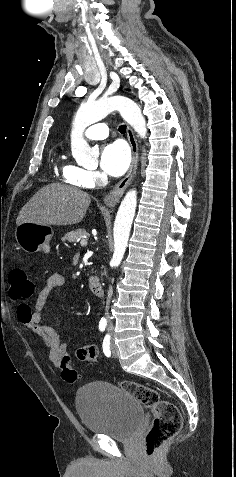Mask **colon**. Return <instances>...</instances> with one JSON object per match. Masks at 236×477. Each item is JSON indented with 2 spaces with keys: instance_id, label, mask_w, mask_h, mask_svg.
<instances>
[{
  "instance_id": "5ec220e1",
  "label": "colon",
  "mask_w": 236,
  "mask_h": 477,
  "mask_svg": "<svg viewBox=\"0 0 236 477\" xmlns=\"http://www.w3.org/2000/svg\"><path fill=\"white\" fill-rule=\"evenodd\" d=\"M10 297L14 300H28L36 293V284L29 278L23 267H14L9 273ZM29 305L21 303L18 311L28 310ZM76 358L94 363L97 356L90 345L81 346L76 351ZM69 357L62 359V378L70 384L78 380L77 371L68 365ZM120 387L150 408L154 415L153 424L146 435V453L153 456L161 447L175 437L182 427V416L178 408L171 402L161 399L159 393L150 387L133 381H122Z\"/></svg>"
}]
</instances>
